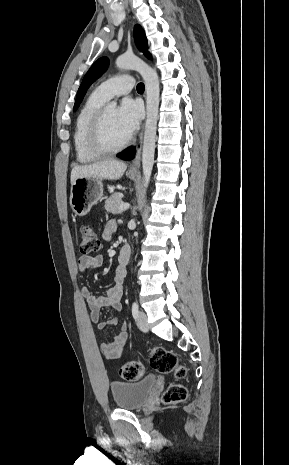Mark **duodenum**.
<instances>
[{
  "label": "duodenum",
  "mask_w": 289,
  "mask_h": 465,
  "mask_svg": "<svg viewBox=\"0 0 289 465\" xmlns=\"http://www.w3.org/2000/svg\"><path fill=\"white\" fill-rule=\"evenodd\" d=\"M129 256H130V248L128 245H124L120 251V256H119L120 262L125 264L128 261Z\"/></svg>",
  "instance_id": "duodenum-1"
}]
</instances>
